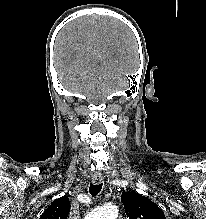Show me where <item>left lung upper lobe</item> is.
<instances>
[{
	"instance_id": "left-lung-upper-lobe-1",
	"label": "left lung upper lobe",
	"mask_w": 206,
	"mask_h": 219,
	"mask_svg": "<svg viewBox=\"0 0 206 219\" xmlns=\"http://www.w3.org/2000/svg\"><path fill=\"white\" fill-rule=\"evenodd\" d=\"M121 201L129 219H166L154 202L135 191L123 192Z\"/></svg>"
}]
</instances>
